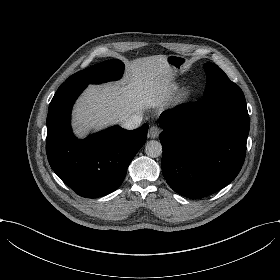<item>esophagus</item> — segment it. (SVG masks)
<instances>
[{
	"instance_id": "34e87169",
	"label": "esophagus",
	"mask_w": 280,
	"mask_h": 280,
	"mask_svg": "<svg viewBox=\"0 0 280 280\" xmlns=\"http://www.w3.org/2000/svg\"><path fill=\"white\" fill-rule=\"evenodd\" d=\"M159 136V128L157 126H151L148 137L151 139H156Z\"/></svg>"
}]
</instances>
